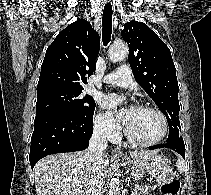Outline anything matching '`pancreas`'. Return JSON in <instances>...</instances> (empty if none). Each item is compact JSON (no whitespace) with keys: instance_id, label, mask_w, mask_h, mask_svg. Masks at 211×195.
Returning <instances> with one entry per match:
<instances>
[{"instance_id":"obj_1","label":"pancreas","mask_w":211,"mask_h":195,"mask_svg":"<svg viewBox=\"0 0 211 195\" xmlns=\"http://www.w3.org/2000/svg\"><path fill=\"white\" fill-rule=\"evenodd\" d=\"M155 187L154 186H137L135 188L136 195H147L149 193L150 190H153Z\"/></svg>"}]
</instances>
